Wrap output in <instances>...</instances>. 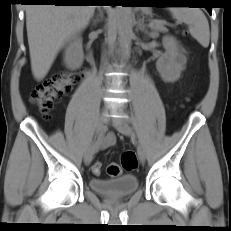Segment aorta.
Wrapping results in <instances>:
<instances>
[{"label":"aorta","instance_id":"1","mask_svg":"<svg viewBox=\"0 0 231 231\" xmlns=\"http://www.w3.org/2000/svg\"><path fill=\"white\" fill-rule=\"evenodd\" d=\"M116 16L119 35V51L122 59L127 60L130 57L133 35L131 7L117 6Z\"/></svg>","mask_w":231,"mask_h":231}]
</instances>
